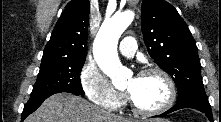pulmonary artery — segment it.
<instances>
[{
  "label": "pulmonary artery",
  "mask_w": 221,
  "mask_h": 122,
  "mask_svg": "<svg viewBox=\"0 0 221 122\" xmlns=\"http://www.w3.org/2000/svg\"><path fill=\"white\" fill-rule=\"evenodd\" d=\"M119 51L122 55L132 57L136 51V41L132 36L123 38L119 44Z\"/></svg>",
  "instance_id": "1"
}]
</instances>
